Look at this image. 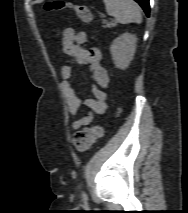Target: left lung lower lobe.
<instances>
[{"mask_svg": "<svg viewBox=\"0 0 188 213\" xmlns=\"http://www.w3.org/2000/svg\"><path fill=\"white\" fill-rule=\"evenodd\" d=\"M135 1L140 4V6L144 9L146 15L149 16L150 10L149 0H135Z\"/></svg>", "mask_w": 188, "mask_h": 213, "instance_id": "1", "label": "left lung lower lobe"}]
</instances>
